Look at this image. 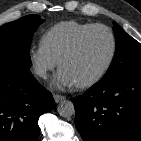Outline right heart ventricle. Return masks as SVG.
<instances>
[{"label":"right heart ventricle","mask_w":141,"mask_h":141,"mask_svg":"<svg viewBox=\"0 0 141 141\" xmlns=\"http://www.w3.org/2000/svg\"><path fill=\"white\" fill-rule=\"evenodd\" d=\"M93 23L75 20L60 21L49 27L40 38V45L58 61L75 37Z\"/></svg>","instance_id":"obj_1"}]
</instances>
